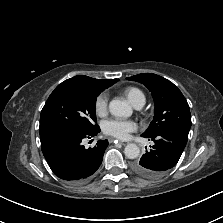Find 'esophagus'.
Wrapping results in <instances>:
<instances>
[{"mask_svg": "<svg viewBox=\"0 0 223 223\" xmlns=\"http://www.w3.org/2000/svg\"><path fill=\"white\" fill-rule=\"evenodd\" d=\"M116 141L119 142L121 145H126V144H127V142H124V141H118V140H115V139H113V138H110V139H109V142H110V143H113V142L115 143Z\"/></svg>", "mask_w": 223, "mask_h": 223, "instance_id": "esophagus-1", "label": "esophagus"}]
</instances>
